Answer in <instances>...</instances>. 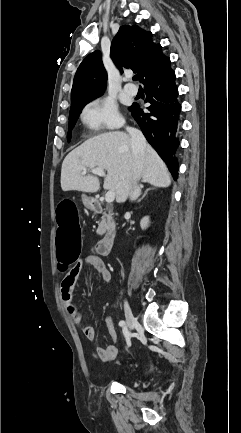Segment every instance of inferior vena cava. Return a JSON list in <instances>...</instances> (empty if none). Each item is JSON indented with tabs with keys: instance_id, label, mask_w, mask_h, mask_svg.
I'll return each mask as SVG.
<instances>
[{
	"instance_id": "1",
	"label": "inferior vena cava",
	"mask_w": 241,
	"mask_h": 433,
	"mask_svg": "<svg viewBox=\"0 0 241 433\" xmlns=\"http://www.w3.org/2000/svg\"><path fill=\"white\" fill-rule=\"evenodd\" d=\"M126 130L130 135L133 154L132 183L135 185L141 177L146 141L142 132L138 129L127 127Z\"/></svg>"
}]
</instances>
